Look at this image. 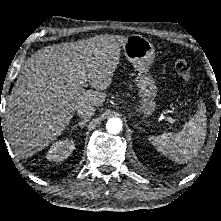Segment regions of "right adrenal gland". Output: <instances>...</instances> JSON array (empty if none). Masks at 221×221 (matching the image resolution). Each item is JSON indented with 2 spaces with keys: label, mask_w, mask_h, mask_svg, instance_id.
Instances as JSON below:
<instances>
[{
  "label": "right adrenal gland",
  "mask_w": 221,
  "mask_h": 221,
  "mask_svg": "<svg viewBox=\"0 0 221 221\" xmlns=\"http://www.w3.org/2000/svg\"><path fill=\"white\" fill-rule=\"evenodd\" d=\"M87 122H88L87 119H84V120L79 121L77 124H75V125L72 127V130H74V129L77 128V127H80L81 129H83L84 125H86Z\"/></svg>",
  "instance_id": "right-adrenal-gland-1"
}]
</instances>
